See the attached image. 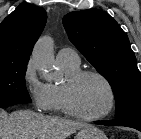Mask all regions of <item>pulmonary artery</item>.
Segmentation results:
<instances>
[{"label": "pulmonary artery", "mask_w": 141, "mask_h": 139, "mask_svg": "<svg viewBox=\"0 0 141 139\" xmlns=\"http://www.w3.org/2000/svg\"><path fill=\"white\" fill-rule=\"evenodd\" d=\"M58 64L79 65L80 59L77 52L71 48H62L56 55Z\"/></svg>", "instance_id": "1"}]
</instances>
